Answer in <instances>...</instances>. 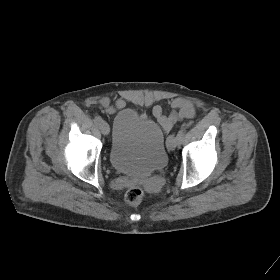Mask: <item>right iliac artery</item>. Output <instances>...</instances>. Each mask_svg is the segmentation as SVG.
I'll use <instances>...</instances> for the list:
<instances>
[{
    "mask_svg": "<svg viewBox=\"0 0 280 280\" xmlns=\"http://www.w3.org/2000/svg\"><path fill=\"white\" fill-rule=\"evenodd\" d=\"M103 120L100 116H96L94 118V123L97 125V126H100L102 124Z\"/></svg>",
    "mask_w": 280,
    "mask_h": 280,
    "instance_id": "82829eb1",
    "label": "right iliac artery"
}]
</instances>
